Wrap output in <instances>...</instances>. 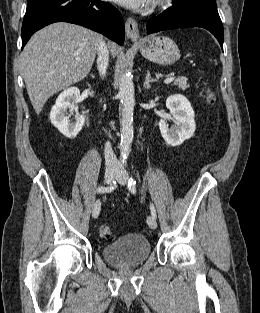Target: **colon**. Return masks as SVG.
Listing matches in <instances>:
<instances>
[{"mask_svg":"<svg viewBox=\"0 0 260 313\" xmlns=\"http://www.w3.org/2000/svg\"><path fill=\"white\" fill-rule=\"evenodd\" d=\"M207 98H208V101L210 103L214 102V96L212 93L209 92L207 95ZM98 232H99V236L105 240H112L113 239V233H112L110 227L107 225H101L99 227Z\"/></svg>","mask_w":260,"mask_h":313,"instance_id":"1","label":"colon"}]
</instances>
